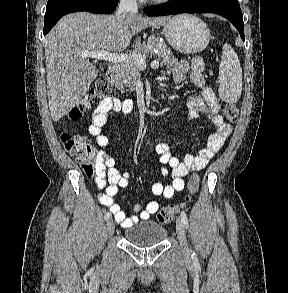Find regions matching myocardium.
Returning a JSON list of instances; mask_svg holds the SVG:
<instances>
[{
	"instance_id": "obj_1",
	"label": "myocardium",
	"mask_w": 288,
	"mask_h": 293,
	"mask_svg": "<svg viewBox=\"0 0 288 293\" xmlns=\"http://www.w3.org/2000/svg\"><path fill=\"white\" fill-rule=\"evenodd\" d=\"M150 1L156 4H162V3L168 2L169 0H150Z\"/></svg>"
}]
</instances>
